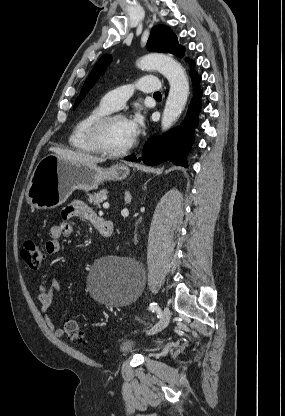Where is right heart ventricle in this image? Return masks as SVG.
Listing matches in <instances>:
<instances>
[{
  "mask_svg": "<svg viewBox=\"0 0 285 416\" xmlns=\"http://www.w3.org/2000/svg\"><path fill=\"white\" fill-rule=\"evenodd\" d=\"M111 111L102 101L91 107L76 122L69 141L70 145L77 151L85 154H93L95 151L88 141V130L90 125L98 117Z\"/></svg>",
  "mask_w": 285,
  "mask_h": 416,
  "instance_id": "right-heart-ventricle-1",
  "label": "right heart ventricle"
}]
</instances>
